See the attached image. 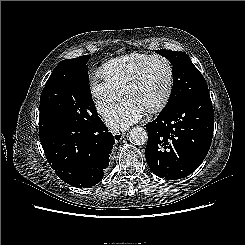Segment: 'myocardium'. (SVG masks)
I'll return each mask as SVG.
<instances>
[{
  "label": "myocardium",
  "instance_id": "myocardium-1",
  "mask_svg": "<svg viewBox=\"0 0 245 245\" xmlns=\"http://www.w3.org/2000/svg\"><path fill=\"white\" fill-rule=\"evenodd\" d=\"M155 59L161 60L166 64L168 70V81H167V87L160 101L156 105L152 106L147 110V112L151 114L160 112L166 106V104L168 103L171 97L173 91V85H174V70L170 60L160 54L149 55L148 58L144 60L143 63L137 68L133 76L130 78V80L127 82V84L124 87V94L125 96H127L130 89H132L140 81L147 65L152 60Z\"/></svg>",
  "mask_w": 245,
  "mask_h": 245
}]
</instances>
